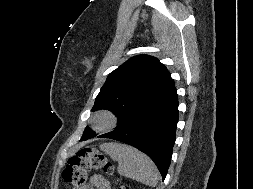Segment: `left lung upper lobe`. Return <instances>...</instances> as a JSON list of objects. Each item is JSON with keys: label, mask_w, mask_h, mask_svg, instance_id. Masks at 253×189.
<instances>
[{"label": "left lung upper lobe", "mask_w": 253, "mask_h": 189, "mask_svg": "<svg viewBox=\"0 0 253 189\" xmlns=\"http://www.w3.org/2000/svg\"><path fill=\"white\" fill-rule=\"evenodd\" d=\"M166 67L155 57L138 55L112 71L95 99L92 111L107 109L124 124L174 87ZM94 133L88 127L84 134Z\"/></svg>", "instance_id": "obj_1"}]
</instances>
